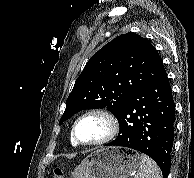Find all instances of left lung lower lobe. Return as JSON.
<instances>
[{
  "label": "left lung lower lobe",
  "instance_id": "0a47b994",
  "mask_svg": "<svg viewBox=\"0 0 194 178\" xmlns=\"http://www.w3.org/2000/svg\"><path fill=\"white\" fill-rule=\"evenodd\" d=\"M114 115L120 132L106 145L148 155L160 167L163 178H167L174 140L175 103L166 71L128 96Z\"/></svg>",
  "mask_w": 194,
  "mask_h": 178
}]
</instances>
